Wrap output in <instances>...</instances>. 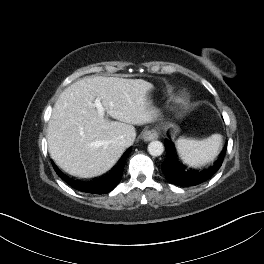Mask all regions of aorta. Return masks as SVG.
Segmentation results:
<instances>
[{"label":"aorta","instance_id":"aorta-1","mask_svg":"<svg viewBox=\"0 0 264 264\" xmlns=\"http://www.w3.org/2000/svg\"><path fill=\"white\" fill-rule=\"evenodd\" d=\"M148 152L150 155L155 157L162 155L164 152V146L162 142L157 140L150 142L148 145Z\"/></svg>","mask_w":264,"mask_h":264}]
</instances>
